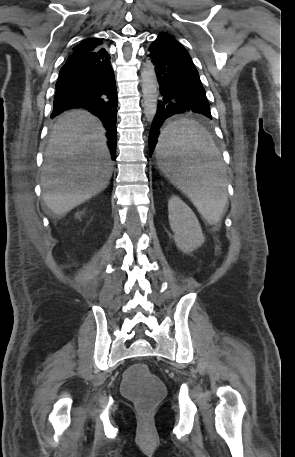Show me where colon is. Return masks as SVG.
Wrapping results in <instances>:
<instances>
[{
  "mask_svg": "<svg viewBox=\"0 0 295 457\" xmlns=\"http://www.w3.org/2000/svg\"><path fill=\"white\" fill-rule=\"evenodd\" d=\"M125 375L126 381H121V390L143 414L150 413L163 394L157 375L152 374L148 363H133L132 369H126Z\"/></svg>",
  "mask_w": 295,
  "mask_h": 457,
  "instance_id": "5ec220e1",
  "label": "colon"
}]
</instances>
